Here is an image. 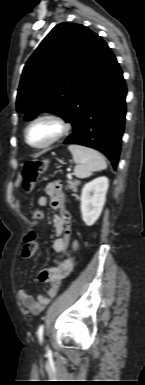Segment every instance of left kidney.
Wrapping results in <instances>:
<instances>
[{
  "mask_svg": "<svg viewBox=\"0 0 145 385\" xmlns=\"http://www.w3.org/2000/svg\"><path fill=\"white\" fill-rule=\"evenodd\" d=\"M109 187L108 178L98 177L84 185L81 193L82 219L87 226H92L100 217Z\"/></svg>",
  "mask_w": 145,
  "mask_h": 385,
  "instance_id": "obj_1",
  "label": "left kidney"
}]
</instances>
